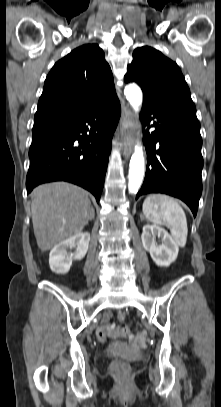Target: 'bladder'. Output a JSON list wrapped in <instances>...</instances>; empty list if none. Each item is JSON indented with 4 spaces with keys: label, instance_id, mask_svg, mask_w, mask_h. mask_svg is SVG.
<instances>
[{
    "label": "bladder",
    "instance_id": "31cf9c89",
    "mask_svg": "<svg viewBox=\"0 0 221 407\" xmlns=\"http://www.w3.org/2000/svg\"><path fill=\"white\" fill-rule=\"evenodd\" d=\"M124 347H125L124 344L119 343V342H115L111 346V351L114 352V353H119L124 349Z\"/></svg>",
    "mask_w": 221,
    "mask_h": 407
}]
</instances>
